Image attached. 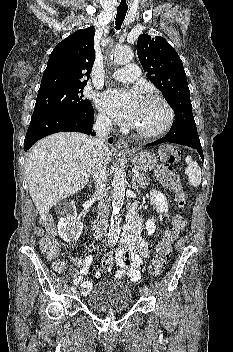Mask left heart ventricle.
<instances>
[{"label": "left heart ventricle", "instance_id": "left-heart-ventricle-1", "mask_svg": "<svg viewBox=\"0 0 233 352\" xmlns=\"http://www.w3.org/2000/svg\"><path fill=\"white\" fill-rule=\"evenodd\" d=\"M166 119V110L161 103L155 100H142L135 128L151 131L159 128Z\"/></svg>", "mask_w": 233, "mask_h": 352}]
</instances>
